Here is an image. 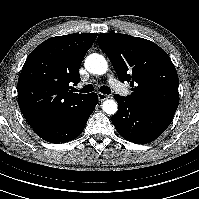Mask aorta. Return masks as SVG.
<instances>
[{"label": "aorta", "mask_w": 199, "mask_h": 199, "mask_svg": "<svg viewBox=\"0 0 199 199\" xmlns=\"http://www.w3.org/2000/svg\"><path fill=\"white\" fill-rule=\"evenodd\" d=\"M85 68L92 74L103 75L108 70V63L102 55L94 53L86 58ZM102 109L106 114L113 115L118 110V104L109 99L103 102Z\"/></svg>", "instance_id": "1"}]
</instances>
